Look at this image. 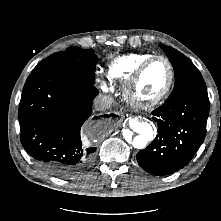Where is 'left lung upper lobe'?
I'll return each instance as SVG.
<instances>
[{"label": "left lung upper lobe", "mask_w": 221, "mask_h": 221, "mask_svg": "<svg viewBox=\"0 0 221 221\" xmlns=\"http://www.w3.org/2000/svg\"><path fill=\"white\" fill-rule=\"evenodd\" d=\"M174 68L175 85L168 99H176L191 91L207 90L203 77L196 66L176 49L159 45Z\"/></svg>", "instance_id": "obj_1"}]
</instances>
